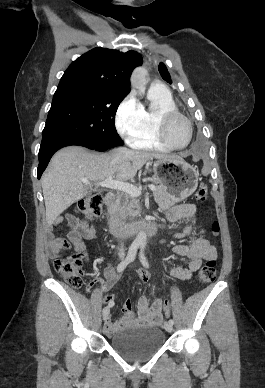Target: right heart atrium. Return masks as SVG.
<instances>
[{
    "mask_svg": "<svg viewBox=\"0 0 265 388\" xmlns=\"http://www.w3.org/2000/svg\"><path fill=\"white\" fill-rule=\"evenodd\" d=\"M117 125L120 134L127 141L141 132L143 128V108L133 94L128 95L117 112Z\"/></svg>",
    "mask_w": 265,
    "mask_h": 388,
    "instance_id": "d8ad5b80",
    "label": "right heart atrium"
}]
</instances>
